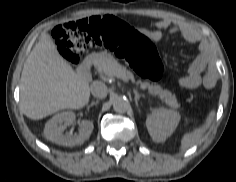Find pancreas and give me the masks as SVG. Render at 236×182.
<instances>
[{
  "mask_svg": "<svg viewBox=\"0 0 236 182\" xmlns=\"http://www.w3.org/2000/svg\"><path fill=\"white\" fill-rule=\"evenodd\" d=\"M91 60L95 69L102 74L108 76H117V74H119L134 80L133 74L128 71L125 66L119 64L112 55L107 52L93 53L91 54ZM136 84L142 88H147L151 95L159 97L168 106L172 108L180 107L176 96L169 90L163 89L160 85H153L140 80L136 81Z\"/></svg>",
  "mask_w": 236,
  "mask_h": 182,
  "instance_id": "pancreas-1",
  "label": "pancreas"
}]
</instances>
